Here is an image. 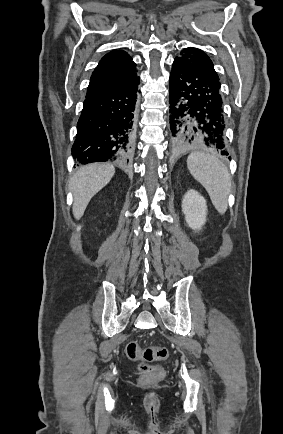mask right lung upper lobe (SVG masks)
Here are the masks:
<instances>
[{"mask_svg": "<svg viewBox=\"0 0 283 434\" xmlns=\"http://www.w3.org/2000/svg\"><path fill=\"white\" fill-rule=\"evenodd\" d=\"M136 64L127 52L113 50L107 53L93 71L86 97L118 89L135 77Z\"/></svg>", "mask_w": 283, "mask_h": 434, "instance_id": "obj_1", "label": "right lung upper lobe"}]
</instances>
